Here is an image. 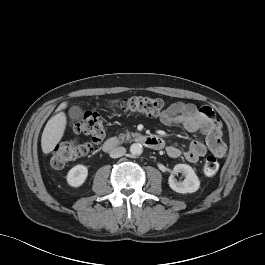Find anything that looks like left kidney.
Segmentation results:
<instances>
[{
    "mask_svg": "<svg viewBox=\"0 0 265 265\" xmlns=\"http://www.w3.org/2000/svg\"><path fill=\"white\" fill-rule=\"evenodd\" d=\"M182 173L185 175V179L182 182L177 181L174 178V174ZM168 184L172 190L177 193H193L200 187V181L191 166L187 164H177L172 171L168 179Z\"/></svg>",
    "mask_w": 265,
    "mask_h": 265,
    "instance_id": "obj_1",
    "label": "left kidney"
}]
</instances>
